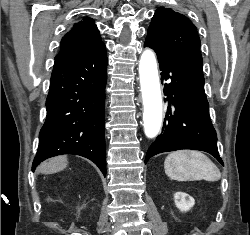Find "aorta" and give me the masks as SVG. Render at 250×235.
Masks as SVG:
<instances>
[{
  "instance_id": "762f6f07",
  "label": "aorta",
  "mask_w": 250,
  "mask_h": 235,
  "mask_svg": "<svg viewBox=\"0 0 250 235\" xmlns=\"http://www.w3.org/2000/svg\"><path fill=\"white\" fill-rule=\"evenodd\" d=\"M139 75L144 105V132L148 138H154L161 127L162 99L156 58L151 50H145L141 55Z\"/></svg>"
}]
</instances>
